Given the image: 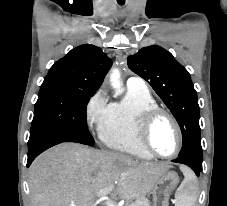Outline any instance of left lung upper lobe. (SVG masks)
Masks as SVG:
<instances>
[{
	"label": "left lung upper lobe",
	"instance_id": "left-lung-upper-lobe-1",
	"mask_svg": "<svg viewBox=\"0 0 227 206\" xmlns=\"http://www.w3.org/2000/svg\"><path fill=\"white\" fill-rule=\"evenodd\" d=\"M127 63L152 86L180 125L183 144L179 156L202 158L199 105L188 71L170 52L156 45L129 56Z\"/></svg>",
	"mask_w": 227,
	"mask_h": 206
}]
</instances>
